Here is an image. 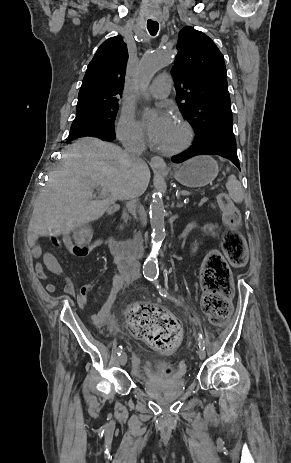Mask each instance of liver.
<instances>
[{
	"label": "liver",
	"mask_w": 291,
	"mask_h": 463,
	"mask_svg": "<svg viewBox=\"0 0 291 463\" xmlns=\"http://www.w3.org/2000/svg\"><path fill=\"white\" fill-rule=\"evenodd\" d=\"M150 177L146 162H130L117 145L92 137L75 141L36 199L28 228L30 244L39 236L69 234L98 220L115 201L142 195ZM96 187L106 190L100 200H93Z\"/></svg>",
	"instance_id": "liver-1"
}]
</instances>
